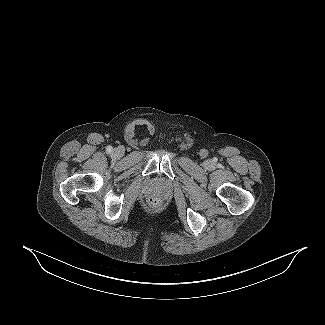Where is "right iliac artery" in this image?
Wrapping results in <instances>:
<instances>
[{"label":"right iliac artery","mask_w":325,"mask_h":325,"mask_svg":"<svg viewBox=\"0 0 325 325\" xmlns=\"http://www.w3.org/2000/svg\"><path fill=\"white\" fill-rule=\"evenodd\" d=\"M112 146H107V148H106V151L108 152V153H111L112 152Z\"/></svg>","instance_id":"right-iliac-artery-1"}]
</instances>
